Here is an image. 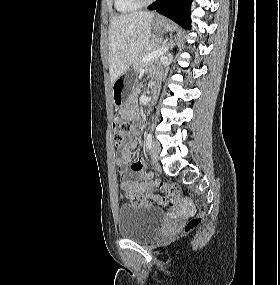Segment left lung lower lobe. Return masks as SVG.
Here are the masks:
<instances>
[{
    "label": "left lung lower lobe",
    "mask_w": 280,
    "mask_h": 285,
    "mask_svg": "<svg viewBox=\"0 0 280 285\" xmlns=\"http://www.w3.org/2000/svg\"><path fill=\"white\" fill-rule=\"evenodd\" d=\"M192 0H158L149 6V10L170 18L186 29H190V6Z\"/></svg>",
    "instance_id": "obj_1"
}]
</instances>
